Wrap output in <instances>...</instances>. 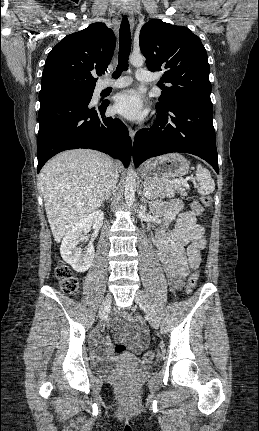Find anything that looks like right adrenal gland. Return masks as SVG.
<instances>
[{
	"mask_svg": "<svg viewBox=\"0 0 259 431\" xmlns=\"http://www.w3.org/2000/svg\"><path fill=\"white\" fill-rule=\"evenodd\" d=\"M104 200H108V197H107V196H105V197H104Z\"/></svg>",
	"mask_w": 259,
	"mask_h": 431,
	"instance_id": "2a0ac1e0",
	"label": "right adrenal gland"
}]
</instances>
